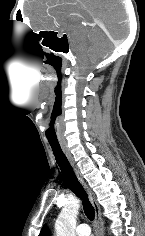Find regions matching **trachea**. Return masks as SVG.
Wrapping results in <instances>:
<instances>
[{
    "label": "trachea",
    "instance_id": "obj_1",
    "mask_svg": "<svg viewBox=\"0 0 145 236\" xmlns=\"http://www.w3.org/2000/svg\"><path fill=\"white\" fill-rule=\"evenodd\" d=\"M55 156L56 162L60 167L63 174V178L73 193L76 194L81 200L84 212L89 220H94L95 212L94 208L88 200V197L80 185L71 165L69 164L66 156L61 150L58 142H49Z\"/></svg>",
    "mask_w": 145,
    "mask_h": 236
}]
</instances>
